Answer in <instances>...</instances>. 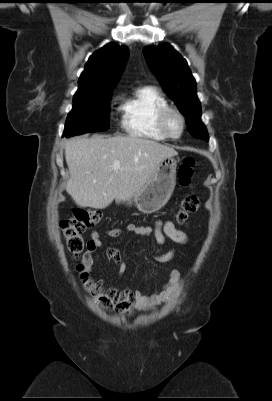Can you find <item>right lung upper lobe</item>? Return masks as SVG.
Instances as JSON below:
<instances>
[{
	"label": "right lung upper lobe",
	"instance_id": "1",
	"mask_svg": "<svg viewBox=\"0 0 272 401\" xmlns=\"http://www.w3.org/2000/svg\"><path fill=\"white\" fill-rule=\"evenodd\" d=\"M128 48L109 43L95 51L88 59L74 98L99 91L113 90L123 71Z\"/></svg>",
	"mask_w": 272,
	"mask_h": 401
}]
</instances>
